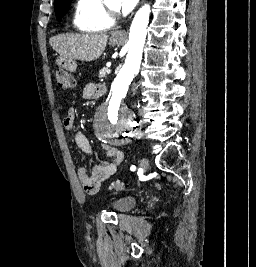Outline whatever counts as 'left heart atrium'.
Returning a JSON list of instances; mask_svg holds the SVG:
<instances>
[{
	"mask_svg": "<svg viewBox=\"0 0 256 267\" xmlns=\"http://www.w3.org/2000/svg\"><path fill=\"white\" fill-rule=\"evenodd\" d=\"M136 0H118L119 10L122 15H127L133 9Z\"/></svg>",
	"mask_w": 256,
	"mask_h": 267,
	"instance_id": "1",
	"label": "left heart atrium"
}]
</instances>
